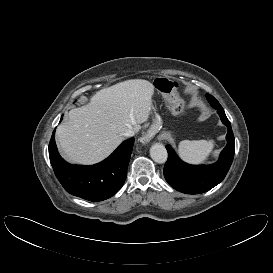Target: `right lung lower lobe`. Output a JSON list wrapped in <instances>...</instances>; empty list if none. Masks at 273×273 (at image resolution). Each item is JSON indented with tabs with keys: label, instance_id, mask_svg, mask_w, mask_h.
Listing matches in <instances>:
<instances>
[{
	"label": "right lung lower lobe",
	"instance_id": "obj_1",
	"mask_svg": "<svg viewBox=\"0 0 273 273\" xmlns=\"http://www.w3.org/2000/svg\"><path fill=\"white\" fill-rule=\"evenodd\" d=\"M133 144L134 138L125 140L98 164L71 165L57 151L54 130L49 143V158L57 179L67 192L89 201H102L113 196L123 186Z\"/></svg>",
	"mask_w": 273,
	"mask_h": 273
}]
</instances>
